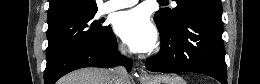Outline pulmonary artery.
Here are the masks:
<instances>
[{
  "mask_svg": "<svg viewBox=\"0 0 260 84\" xmlns=\"http://www.w3.org/2000/svg\"><path fill=\"white\" fill-rule=\"evenodd\" d=\"M138 1L136 0H110L105 2L101 7V13L113 12L119 9L131 7L135 5Z\"/></svg>",
  "mask_w": 260,
  "mask_h": 84,
  "instance_id": "pulmonary-artery-1",
  "label": "pulmonary artery"
}]
</instances>
